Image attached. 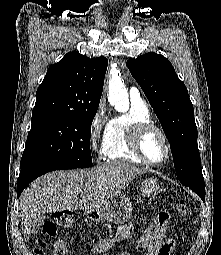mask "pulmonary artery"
Instances as JSON below:
<instances>
[{"mask_svg": "<svg viewBox=\"0 0 221 255\" xmlns=\"http://www.w3.org/2000/svg\"><path fill=\"white\" fill-rule=\"evenodd\" d=\"M131 102L145 104V99L140 91L136 88H131L129 91Z\"/></svg>", "mask_w": 221, "mask_h": 255, "instance_id": "e3ab8cb5", "label": "pulmonary artery"}]
</instances>
